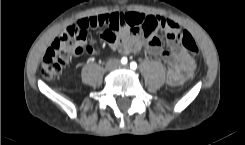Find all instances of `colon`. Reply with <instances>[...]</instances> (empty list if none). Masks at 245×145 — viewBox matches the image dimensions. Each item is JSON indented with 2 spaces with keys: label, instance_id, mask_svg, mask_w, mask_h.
Listing matches in <instances>:
<instances>
[{
  "label": "colon",
  "instance_id": "5ec220e1",
  "mask_svg": "<svg viewBox=\"0 0 245 145\" xmlns=\"http://www.w3.org/2000/svg\"><path fill=\"white\" fill-rule=\"evenodd\" d=\"M80 21L83 25L80 26ZM165 21L163 17H149L148 25L141 27L138 31L143 33L155 32L162 28ZM105 19L103 16L75 21L69 24L65 32L56 38L47 50L41 65L42 75L47 79H52L60 75L66 61L72 56H79L86 53L87 49L81 44L90 27L103 26ZM177 30L179 41L191 52H197L198 47L192 36L185 30Z\"/></svg>",
  "mask_w": 245,
  "mask_h": 145
}]
</instances>
